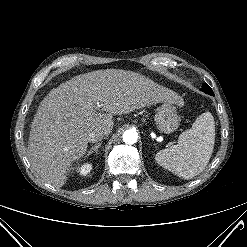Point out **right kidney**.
<instances>
[{"label":"right kidney","mask_w":247,"mask_h":247,"mask_svg":"<svg viewBox=\"0 0 247 247\" xmlns=\"http://www.w3.org/2000/svg\"><path fill=\"white\" fill-rule=\"evenodd\" d=\"M92 169V164L85 163L81 165V167H77V172H79L81 175L86 176L88 173H90Z\"/></svg>","instance_id":"1"}]
</instances>
